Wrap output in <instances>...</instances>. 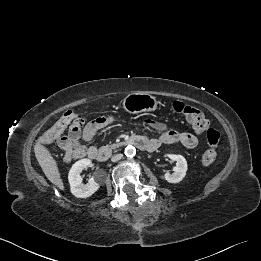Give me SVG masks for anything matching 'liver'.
I'll return each instance as SVG.
<instances>
[{"instance_id": "6515ba94", "label": "liver", "mask_w": 261, "mask_h": 261, "mask_svg": "<svg viewBox=\"0 0 261 261\" xmlns=\"http://www.w3.org/2000/svg\"><path fill=\"white\" fill-rule=\"evenodd\" d=\"M34 151L36 159L48 180L57 186L60 190H64V184L61 179L57 163L52 157L50 151L39 142L36 143Z\"/></svg>"}]
</instances>
